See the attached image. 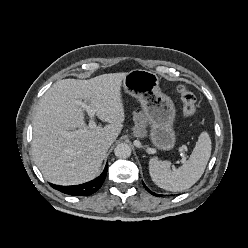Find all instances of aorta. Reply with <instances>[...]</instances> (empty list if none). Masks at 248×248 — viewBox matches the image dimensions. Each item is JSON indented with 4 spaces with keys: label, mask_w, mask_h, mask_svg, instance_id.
Here are the masks:
<instances>
[{
    "label": "aorta",
    "mask_w": 248,
    "mask_h": 248,
    "mask_svg": "<svg viewBox=\"0 0 248 248\" xmlns=\"http://www.w3.org/2000/svg\"><path fill=\"white\" fill-rule=\"evenodd\" d=\"M114 154L116 157L121 159H126L131 155V148L126 143H119L114 150Z\"/></svg>",
    "instance_id": "1"
}]
</instances>
